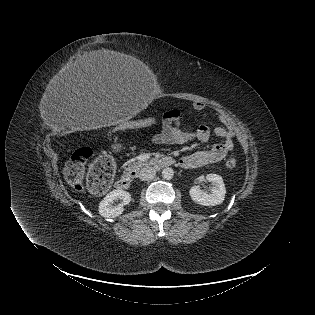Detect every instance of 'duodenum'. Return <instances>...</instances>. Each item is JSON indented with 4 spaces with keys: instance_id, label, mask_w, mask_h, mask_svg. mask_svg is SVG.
I'll use <instances>...</instances> for the list:
<instances>
[{
    "instance_id": "1",
    "label": "duodenum",
    "mask_w": 315,
    "mask_h": 315,
    "mask_svg": "<svg viewBox=\"0 0 315 315\" xmlns=\"http://www.w3.org/2000/svg\"><path fill=\"white\" fill-rule=\"evenodd\" d=\"M174 160L172 158H162L156 161L157 166L160 168H166L174 164ZM134 173H125L123 174L116 182L115 187L120 190L127 189L132 182Z\"/></svg>"
}]
</instances>
